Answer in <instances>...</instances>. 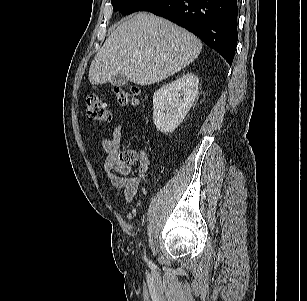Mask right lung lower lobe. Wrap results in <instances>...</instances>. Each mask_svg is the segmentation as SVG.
<instances>
[{"mask_svg": "<svg viewBox=\"0 0 307 301\" xmlns=\"http://www.w3.org/2000/svg\"><path fill=\"white\" fill-rule=\"evenodd\" d=\"M237 0H156L152 12L186 28L231 65L237 46Z\"/></svg>", "mask_w": 307, "mask_h": 301, "instance_id": "98d812e1", "label": "right lung lower lobe"}]
</instances>
